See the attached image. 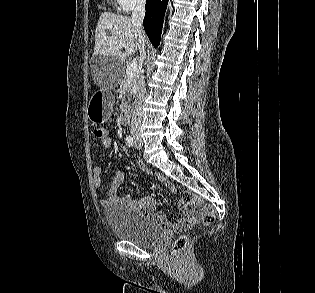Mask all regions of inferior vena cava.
<instances>
[{
	"label": "inferior vena cava",
	"instance_id": "inferior-vena-cava-1",
	"mask_svg": "<svg viewBox=\"0 0 315 293\" xmlns=\"http://www.w3.org/2000/svg\"><path fill=\"white\" fill-rule=\"evenodd\" d=\"M145 15V0H137V4L132 12L131 22L138 34V48L140 52L139 69L141 70L145 55V37L143 31V19ZM146 92L144 78L139 71L134 81V105L132 109L131 134L139 135L142 122V104Z\"/></svg>",
	"mask_w": 315,
	"mask_h": 293
}]
</instances>
